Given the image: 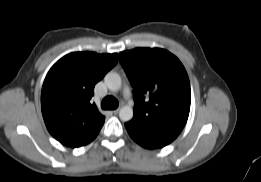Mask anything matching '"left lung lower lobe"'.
I'll use <instances>...</instances> for the list:
<instances>
[{
    "label": "left lung lower lobe",
    "instance_id": "left-lung-lower-lobe-1",
    "mask_svg": "<svg viewBox=\"0 0 261 182\" xmlns=\"http://www.w3.org/2000/svg\"><path fill=\"white\" fill-rule=\"evenodd\" d=\"M125 127L130 137L139 145L147 149L161 148L172 142L163 138H158V137L138 133L134 131L128 123L125 124Z\"/></svg>",
    "mask_w": 261,
    "mask_h": 182
}]
</instances>
